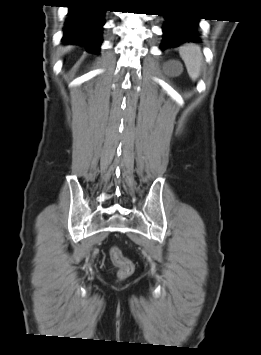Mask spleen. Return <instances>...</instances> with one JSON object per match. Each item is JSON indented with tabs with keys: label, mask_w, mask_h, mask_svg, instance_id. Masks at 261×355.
Masks as SVG:
<instances>
[{
	"label": "spleen",
	"mask_w": 261,
	"mask_h": 355,
	"mask_svg": "<svg viewBox=\"0 0 261 355\" xmlns=\"http://www.w3.org/2000/svg\"><path fill=\"white\" fill-rule=\"evenodd\" d=\"M179 54L185 63L190 78L195 81L200 76L203 63L200 47L195 44H186L179 48Z\"/></svg>",
	"instance_id": "1"
}]
</instances>
